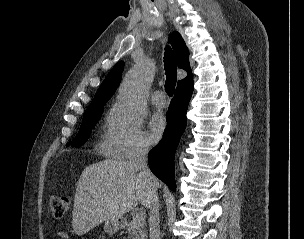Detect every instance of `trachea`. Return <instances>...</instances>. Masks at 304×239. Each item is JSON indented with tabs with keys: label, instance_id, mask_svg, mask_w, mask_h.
Wrapping results in <instances>:
<instances>
[{
	"label": "trachea",
	"instance_id": "3493384b",
	"mask_svg": "<svg viewBox=\"0 0 304 239\" xmlns=\"http://www.w3.org/2000/svg\"><path fill=\"white\" fill-rule=\"evenodd\" d=\"M164 66L166 71L165 91L169 96H172L177 81V74L176 62L173 56V52L172 49L168 46L165 48Z\"/></svg>",
	"mask_w": 304,
	"mask_h": 239
}]
</instances>
